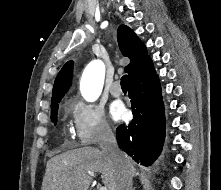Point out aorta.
Segmentation results:
<instances>
[{"instance_id": "obj_1", "label": "aorta", "mask_w": 221, "mask_h": 190, "mask_svg": "<svg viewBox=\"0 0 221 190\" xmlns=\"http://www.w3.org/2000/svg\"><path fill=\"white\" fill-rule=\"evenodd\" d=\"M105 77V65L101 60H94L85 68L80 91L86 101L93 102L102 92Z\"/></svg>"}]
</instances>
